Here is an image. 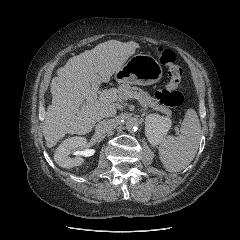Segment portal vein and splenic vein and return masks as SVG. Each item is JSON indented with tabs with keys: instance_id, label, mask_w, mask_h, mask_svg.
Returning <instances> with one entry per match:
<instances>
[{
	"instance_id": "18ae733b",
	"label": "portal vein and splenic vein",
	"mask_w": 240,
	"mask_h": 240,
	"mask_svg": "<svg viewBox=\"0 0 240 240\" xmlns=\"http://www.w3.org/2000/svg\"><path fill=\"white\" fill-rule=\"evenodd\" d=\"M98 94H100V96H102V97L116 96V92H115V90H113V89L104 90V91L100 92L99 89H98V86H94V85H93V86H92V90H91V94L89 95L87 101H93L94 99L97 98V95H98ZM127 97H128V99H129V98H130V99H131V98L137 99V100L140 102V104H141L142 107L147 108V106H148L145 102L141 101V99L139 98V96L136 95V94L128 93V94H127Z\"/></svg>"
}]
</instances>
